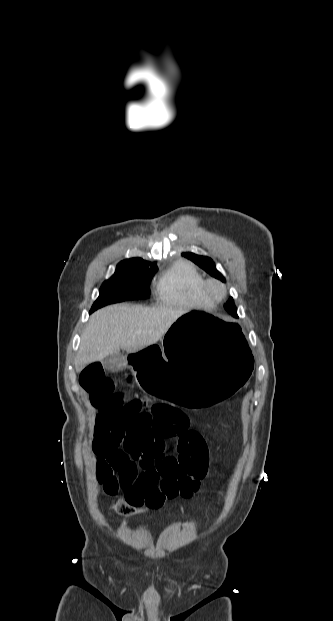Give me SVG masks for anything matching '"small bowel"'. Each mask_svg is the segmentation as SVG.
Listing matches in <instances>:
<instances>
[{
	"instance_id": "1",
	"label": "small bowel",
	"mask_w": 333,
	"mask_h": 621,
	"mask_svg": "<svg viewBox=\"0 0 333 621\" xmlns=\"http://www.w3.org/2000/svg\"><path fill=\"white\" fill-rule=\"evenodd\" d=\"M122 363L121 355L113 354L88 363L79 376L81 390L97 410L92 445L97 469L107 465L118 471L126 462L138 461L142 471L122 498L134 509H156L167 499L192 497L208 470L205 441L189 428L180 408L167 403L147 408L137 393L116 391L107 373ZM169 438L178 440L175 457L163 455Z\"/></svg>"
}]
</instances>
